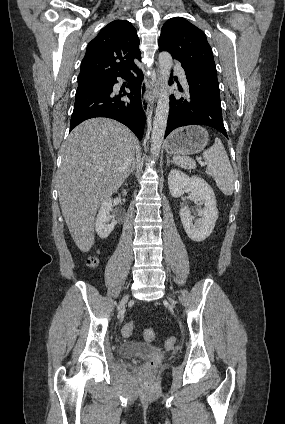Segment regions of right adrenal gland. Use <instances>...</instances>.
Returning a JSON list of instances; mask_svg holds the SVG:
<instances>
[{
  "mask_svg": "<svg viewBox=\"0 0 285 424\" xmlns=\"http://www.w3.org/2000/svg\"><path fill=\"white\" fill-rule=\"evenodd\" d=\"M135 167H136V161L134 159L133 162H132V166L130 167V169H129L127 175H126V178H128L131 174H133Z\"/></svg>",
  "mask_w": 285,
  "mask_h": 424,
  "instance_id": "2a0ac1e0",
  "label": "right adrenal gland"
}]
</instances>
